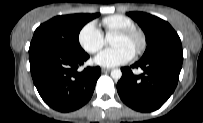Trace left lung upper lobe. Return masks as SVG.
<instances>
[{
    "mask_svg": "<svg viewBox=\"0 0 203 123\" xmlns=\"http://www.w3.org/2000/svg\"><path fill=\"white\" fill-rule=\"evenodd\" d=\"M128 15L140 25L147 37V48L142 58L182 49L178 34L168 22L144 12H129Z\"/></svg>",
    "mask_w": 203,
    "mask_h": 123,
    "instance_id": "left-lung-upper-lobe-1",
    "label": "left lung upper lobe"
}]
</instances>
